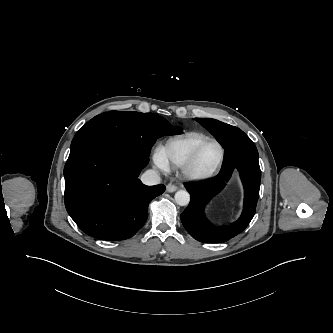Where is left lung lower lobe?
Masks as SVG:
<instances>
[{
	"label": "left lung lower lobe",
	"mask_w": 333,
	"mask_h": 333,
	"mask_svg": "<svg viewBox=\"0 0 333 333\" xmlns=\"http://www.w3.org/2000/svg\"><path fill=\"white\" fill-rule=\"evenodd\" d=\"M224 152V163L218 175L204 183L186 186L191 200L180 218L187 232L200 242H226L240 234L255 215L261 180L257 148L244 133L230 140ZM235 170L240 173L244 186V210L233 224L215 226L205 217V205L223 191Z\"/></svg>",
	"instance_id": "left-lung-lower-lobe-1"
}]
</instances>
